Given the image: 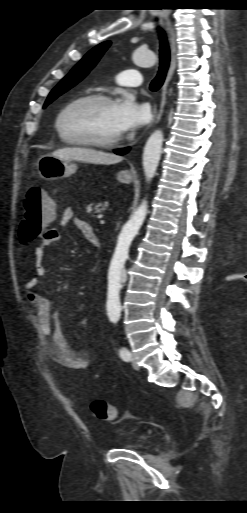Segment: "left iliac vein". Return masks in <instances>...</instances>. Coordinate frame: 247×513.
<instances>
[{
    "label": "left iliac vein",
    "mask_w": 247,
    "mask_h": 513,
    "mask_svg": "<svg viewBox=\"0 0 247 513\" xmlns=\"http://www.w3.org/2000/svg\"><path fill=\"white\" fill-rule=\"evenodd\" d=\"M131 363H132V367L135 369V370H139V365H138V361L137 359L135 358L134 355H132V358H131Z\"/></svg>",
    "instance_id": "obj_1"
}]
</instances>
